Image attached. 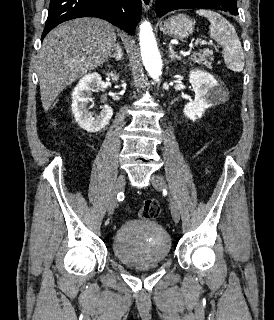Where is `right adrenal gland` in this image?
Instances as JSON below:
<instances>
[{"instance_id": "2a0ac1e0", "label": "right adrenal gland", "mask_w": 274, "mask_h": 320, "mask_svg": "<svg viewBox=\"0 0 274 320\" xmlns=\"http://www.w3.org/2000/svg\"><path fill=\"white\" fill-rule=\"evenodd\" d=\"M109 58H115L116 62H120V60H123L122 48L121 46H119V44H116L115 52L114 54H112V56H109Z\"/></svg>"}]
</instances>
